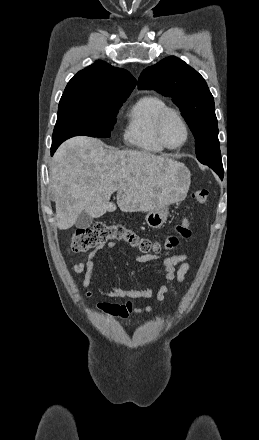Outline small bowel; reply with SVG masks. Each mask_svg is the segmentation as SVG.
<instances>
[{
  "mask_svg": "<svg viewBox=\"0 0 259 440\" xmlns=\"http://www.w3.org/2000/svg\"><path fill=\"white\" fill-rule=\"evenodd\" d=\"M115 246V242H109L106 245L99 246L91 251L85 261H80L72 266L74 273L84 275L82 286L84 287L85 295L88 298H91L93 295L90 290V285L97 256L104 247L113 249ZM137 261L141 263L157 262L159 267L165 273V284L161 285L157 291L154 287L138 290L127 287L111 286L108 291L99 288V292L107 298L147 299L155 296L158 301H163L168 291V285L174 281L182 283L190 270L188 255L185 253L165 252L163 255L142 254L137 257ZM176 267L178 268L176 269ZM96 306L102 312L121 319H125L132 314L138 315L153 310L152 306L135 307L130 301L121 305L109 302H99Z\"/></svg>",
  "mask_w": 259,
  "mask_h": 440,
  "instance_id": "1",
  "label": "small bowel"
}]
</instances>
